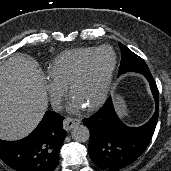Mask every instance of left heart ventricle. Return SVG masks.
<instances>
[{"instance_id": "b2bd125f", "label": "left heart ventricle", "mask_w": 171, "mask_h": 171, "mask_svg": "<svg viewBox=\"0 0 171 171\" xmlns=\"http://www.w3.org/2000/svg\"><path fill=\"white\" fill-rule=\"evenodd\" d=\"M112 64L113 54L109 50H103L96 54L71 94L86 107L94 103L103 91Z\"/></svg>"}]
</instances>
